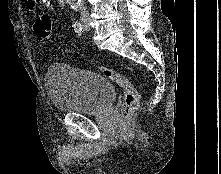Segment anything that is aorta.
Here are the masks:
<instances>
[{"instance_id": "aorta-1", "label": "aorta", "mask_w": 221, "mask_h": 174, "mask_svg": "<svg viewBox=\"0 0 221 174\" xmlns=\"http://www.w3.org/2000/svg\"><path fill=\"white\" fill-rule=\"evenodd\" d=\"M81 0H66L72 10H77Z\"/></svg>"}]
</instances>
